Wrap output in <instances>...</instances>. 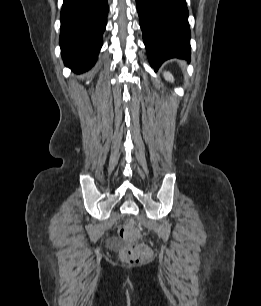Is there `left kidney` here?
Instances as JSON below:
<instances>
[{
  "mask_svg": "<svg viewBox=\"0 0 261 306\" xmlns=\"http://www.w3.org/2000/svg\"><path fill=\"white\" fill-rule=\"evenodd\" d=\"M164 78H165L167 81H170V82H173V81H174V78H173L172 74L169 73V72H165V73H164Z\"/></svg>",
  "mask_w": 261,
  "mask_h": 306,
  "instance_id": "5707ae66",
  "label": "left kidney"
}]
</instances>
